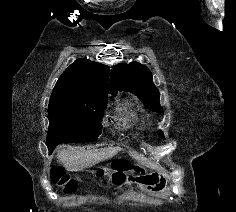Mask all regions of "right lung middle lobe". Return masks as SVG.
Listing matches in <instances>:
<instances>
[{"instance_id": "1", "label": "right lung middle lobe", "mask_w": 236, "mask_h": 212, "mask_svg": "<svg viewBox=\"0 0 236 212\" xmlns=\"http://www.w3.org/2000/svg\"><path fill=\"white\" fill-rule=\"evenodd\" d=\"M107 99L90 105L49 103L47 146L50 152L60 143L97 140L102 131V116Z\"/></svg>"}]
</instances>
